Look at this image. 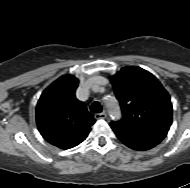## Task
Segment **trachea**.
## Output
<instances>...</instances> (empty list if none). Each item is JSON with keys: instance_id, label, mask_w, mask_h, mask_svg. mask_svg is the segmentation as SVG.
Wrapping results in <instances>:
<instances>
[{"instance_id": "trachea-1", "label": "trachea", "mask_w": 190, "mask_h": 188, "mask_svg": "<svg viewBox=\"0 0 190 188\" xmlns=\"http://www.w3.org/2000/svg\"><path fill=\"white\" fill-rule=\"evenodd\" d=\"M90 110L94 113H101L102 112V106L98 101H95L90 106Z\"/></svg>"}]
</instances>
